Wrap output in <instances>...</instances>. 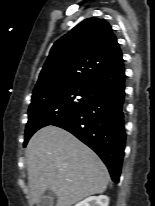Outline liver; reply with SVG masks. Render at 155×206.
Instances as JSON below:
<instances>
[{
    "label": "liver",
    "mask_w": 155,
    "mask_h": 206,
    "mask_svg": "<svg viewBox=\"0 0 155 206\" xmlns=\"http://www.w3.org/2000/svg\"><path fill=\"white\" fill-rule=\"evenodd\" d=\"M25 155L33 204L47 189L56 195V206H72L106 191L110 177L104 163L64 129L43 127L28 142Z\"/></svg>",
    "instance_id": "liver-1"
}]
</instances>
